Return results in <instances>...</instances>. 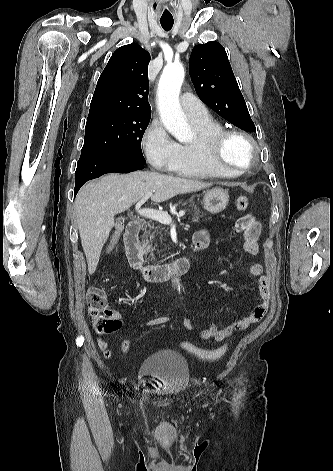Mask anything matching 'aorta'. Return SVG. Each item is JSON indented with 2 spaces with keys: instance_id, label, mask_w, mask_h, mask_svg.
Instances as JSON below:
<instances>
[{
  "instance_id": "obj_1",
  "label": "aorta",
  "mask_w": 333,
  "mask_h": 471,
  "mask_svg": "<svg viewBox=\"0 0 333 471\" xmlns=\"http://www.w3.org/2000/svg\"><path fill=\"white\" fill-rule=\"evenodd\" d=\"M185 71L180 63L167 65L158 84V106L164 127L180 142L187 141L191 129L179 104V93Z\"/></svg>"
}]
</instances>
